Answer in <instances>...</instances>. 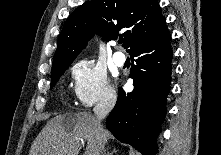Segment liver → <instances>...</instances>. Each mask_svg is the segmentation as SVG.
I'll return each mask as SVG.
<instances>
[{"mask_svg": "<svg viewBox=\"0 0 221 155\" xmlns=\"http://www.w3.org/2000/svg\"><path fill=\"white\" fill-rule=\"evenodd\" d=\"M109 131L99 129L94 116L86 112L59 115L47 122L33 141L29 155H78L83 140L84 155H99L100 142H107Z\"/></svg>", "mask_w": 221, "mask_h": 155, "instance_id": "obj_1", "label": "liver"}]
</instances>
